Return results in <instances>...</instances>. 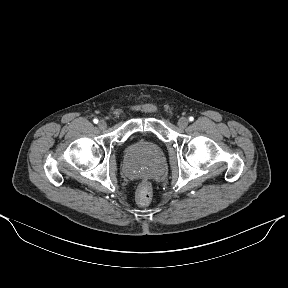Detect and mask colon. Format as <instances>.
<instances>
[{"label":"colon","mask_w":288,"mask_h":288,"mask_svg":"<svg viewBox=\"0 0 288 288\" xmlns=\"http://www.w3.org/2000/svg\"><path fill=\"white\" fill-rule=\"evenodd\" d=\"M152 199V189L147 182H143L137 189L136 192V202L139 205L145 206L150 203Z\"/></svg>","instance_id":"5ec220e1"}]
</instances>
